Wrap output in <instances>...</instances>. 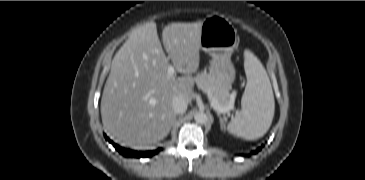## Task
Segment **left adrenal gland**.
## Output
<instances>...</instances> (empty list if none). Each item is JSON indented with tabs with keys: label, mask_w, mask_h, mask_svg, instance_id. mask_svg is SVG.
<instances>
[{
	"label": "left adrenal gland",
	"mask_w": 365,
	"mask_h": 180,
	"mask_svg": "<svg viewBox=\"0 0 365 180\" xmlns=\"http://www.w3.org/2000/svg\"><path fill=\"white\" fill-rule=\"evenodd\" d=\"M218 117H219V121H220V126L222 130H225V123L224 121L226 120L225 118L221 117L220 113H217Z\"/></svg>",
	"instance_id": "left-adrenal-gland-1"
}]
</instances>
